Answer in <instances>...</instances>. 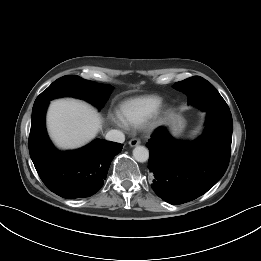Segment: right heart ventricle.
Returning a JSON list of instances; mask_svg holds the SVG:
<instances>
[{
	"label": "right heart ventricle",
	"instance_id": "1",
	"mask_svg": "<svg viewBox=\"0 0 261 261\" xmlns=\"http://www.w3.org/2000/svg\"><path fill=\"white\" fill-rule=\"evenodd\" d=\"M161 102V97L157 95H141L125 99L117 106V117L126 126H138L155 112Z\"/></svg>",
	"mask_w": 261,
	"mask_h": 261
}]
</instances>
